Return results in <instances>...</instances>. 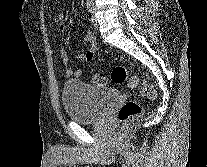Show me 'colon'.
<instances>
[{
    "label": "colon",
    "mask_w": 207,
    "mask_h": 167,
    "mask_svg": "<svg viewBox=\"0 0 207 167\" xmlns=\"http://www.w3.org/2000/svg\"><path fill=\"white\" fill-rule=\"evenodd\" d=\"M111 79L116 84L127 82L130 88L137 89L139 93L147 99L152 100L157 95L156 89L153 85L145 82L137 75H131L125 66L117 65L113 67L111 71ZM90 80L97 86H105L107 84V78L103 74H91ZM141 113L142 106L138 102L127 101L118 111L117 119L119 122L123 123L139 116Z\"/></svg>",
    "instance_id": "1"
}]
</instances>
